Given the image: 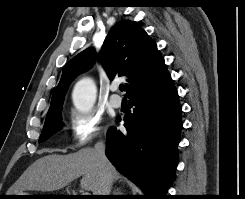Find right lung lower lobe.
I'll return each instance as SVG.
<instances>
[{"label":"right lung lower lobe","mask_w":245,"mask_h":199,"mask_svg":"<svg viewBox=\"0 0 245 199\" xmlns=\"http://www.w3.org/2000/svg\"><path fill=\"white\" fill-rule=\"evenodd\" d=\"M133 112L124 117L127 133L111 127L106 156L139 186L147 199H165L178 163L181 106L172 79L129 97Z\"/></svg>","instance_id":"1"}]
</instances>
